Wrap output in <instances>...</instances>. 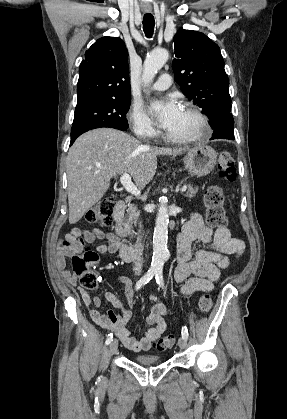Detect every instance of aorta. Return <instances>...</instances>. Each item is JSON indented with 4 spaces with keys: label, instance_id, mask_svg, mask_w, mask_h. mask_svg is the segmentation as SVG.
Listing matches in <instances>:
<instances>
[{
    "label": "aorta",
    "instance_id": "obj_1",
    "mask_svg": "<svg viewBox=\"0 0 287 419\" xmlns=\"http://www.w3.org/2000/svg\"><path fill=\"white\" fill-rule=\"evenodd\" d=\"M166 49H155L145 59L143 66L142 81L148 86L157 72L164 66L168 59ZM169 214L167 201L162 199L157 213L156 224L153 234V256L151 271H161L170 254L167 248Z\"/></svg>",
    "mask_w": 287,
    "mask_h": 419
}]
</instances>
